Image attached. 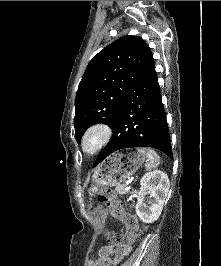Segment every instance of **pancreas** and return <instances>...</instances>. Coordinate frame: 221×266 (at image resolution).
<instances>
[{
	"label": "pancreas",
	"mask_w": 221,
	"mask_h": 266,
	"mask_svg": "<svg viewBox=\"0 0 221 266\" xmlns=\"http://www.w3.org/2000/svg\"><path fill=\"white\" fill-rule=\"evenodd\" d=\"M126 188H127V186L125 184H120V185L116 186L115 190L119 194H126L129 192V190Z\"/></svg>",
	"instance_id": "cf45deb5"
}]
</instances>
